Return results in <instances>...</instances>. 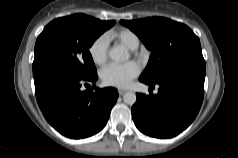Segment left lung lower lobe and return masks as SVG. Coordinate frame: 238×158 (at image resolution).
Instances as JSON below:
<instances>
[{
	"label": "left lung lower lobe",
	"mask_w": 238,
	"mask_h": 158,
	"mask_svg": "<svg viewBox=\"0 0 238 158\" xmlns=\"http://www.w3.org/2000/svg\"><path fill=\"white\" fill-rule=\"evenodd\" d=\"M205 64L174 69L155 83H145L158 93L137 94L132 106L136 127L155 138H171L185 130L197 116L204 96ZM142 82V81H141Z\"/></svg>",
	"instance_id": "1"
}]
</instances>
